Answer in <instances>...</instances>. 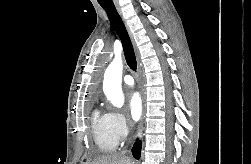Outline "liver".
<instances>
[{
	"mask_svg": "<svg viewBox=\"0 0 251 164\" xmlns=\"http://www.w3.org/2000/svg\"><path fill=\"white\" fill-rule=\"evenodd\" d=\"M86 164H131L129 159L120 154L103 155Z\"/></svg>",
	"mask_w": 251,
	"mask_h": 164,
	"instance_id": "obj_1",
	"label": "liver"
}]
</instances>
